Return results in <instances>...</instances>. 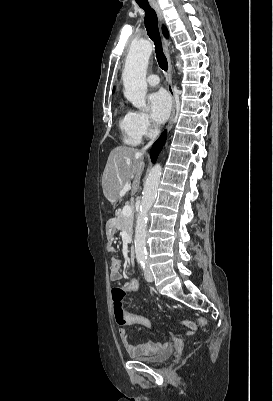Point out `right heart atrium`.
I'll list each match as a JSON object with an SVG mask.
<instances>
[{
    "mask_svg": "<svg viewBox=\"0 0 273 401\" xmlns=\"http://www.w3.org/2000/svg\"><path fill=\"white\" fill-rule=\"evenodd\" d=\"M129 115L132 130L139 138H152L157 134V125L144 112L132 110Z\"/></svg>",
    "mask_w": 273,
    "mask_h": 401,
    "instance_id": "obj_1",
    "label": "right heart atrium"
}]
</instances>
